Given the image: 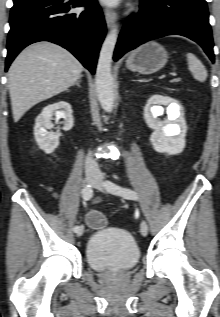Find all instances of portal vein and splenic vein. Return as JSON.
Wrapping results in <instances>:
<instances>
[{"label": "portal vein and splenic vein", "mask_w": 220, "mask_h": 317, "mask_svg": "<svg viewBox=\"0 0 220 317\" xmlns=\"http://www.w3.org/2000/svg\"><path fill=\"white\" fill-rule=\"evenodd\" d=\"M171 76L175 77L177 74L176 73H170Z\"/></svg>", "instance_id": "portal-vein-and-splenic-vein-1"}]
</instances>
